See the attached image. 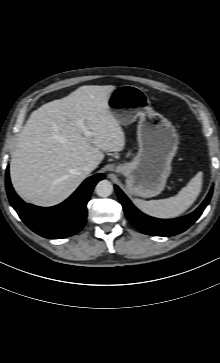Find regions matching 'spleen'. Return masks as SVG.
I'll return each mask as SVG.
<instances>
[{
	"instance_id": "spleen-1",
	"label": "spleen",
	"mask_w": 220,
	"mask_h": 363,
	"mask_svg": "<svg viewBox=\"0 0 220 363\" xmlns=\"http://www.w3.org/2000/svg\"><path fill=\"white\" fill-rule=\"evenodd\" d=\"M202 172H198L176 196L144 201L134 199L136 206L145 214L160 218L171 219L180 216L195 202L202 188Z\"/></svg>"
}]
</instances>
